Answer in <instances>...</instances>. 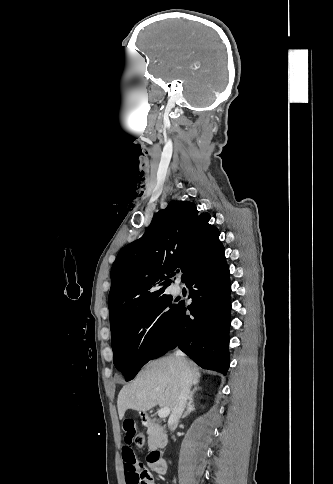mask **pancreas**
I'll list each match as a JSON object with an SVG mask.
<instances>
[{
  "instance_id": "pancreas-1",
  "label": "pancreas",
  "mask_w": 333,
  "mask_h": 484,
  "mask_svg": "<svg viewBox=\"0 0 333 484\" xmlns=\"http://www.w3.org/2000/svg\"><path fill=\"white\" fill-rule=\"evenodd\" d=\"M147 435L149 449H156L167 443V437L164 429L157 425L149 426L147 430Z\"/></svg>"
}]
</instances>
